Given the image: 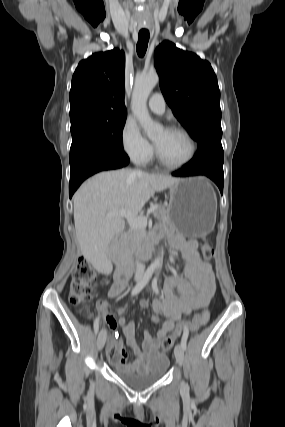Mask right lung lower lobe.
I'll return each mask as SVG.
<instances>
[{
    "mask_svg": "<svg viewBox=\"0 0 285 427\" xmlns=\"http://www.w3.org/2000/svg\"><path fill=\"white\" fill-rule=\"evenodd\" d=\"M128 163L129 158L125 152H115L102 147L83 150L70 164V198L86 178L100 171L122 168Z\"/></svg>",
    "mask_w": 285,
    "mask_h": 427,
    "instance_id": "right-lung-lower-lobe-1",
    "label": "right lung lower lobe"
}]
</instances>
